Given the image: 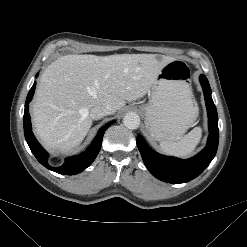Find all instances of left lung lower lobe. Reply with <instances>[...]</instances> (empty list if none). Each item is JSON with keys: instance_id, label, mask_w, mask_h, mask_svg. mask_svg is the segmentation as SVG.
<instances>
[{"instance_id": "left-lung-lower-lobe-1", "label": "left lung lower lobe", "mask_w": 247, "mask_h": 247, "mask_svg": "<svg viewBox=\"0 0 247 247\" xmlns=\"http://www.w3.org/2000/svg\"><path fill=\"white\" fill-rule=\"evenodd\" d=\"M209 118V137L207 146L196 156L181 160L158 154L150 149L140 135L137 146L145 166L153 176L161 181L178 184L185 183L200 175L214 158L219 141L218 115L211 98V88L205 75L200 76Z\"/></svg>"}]
</instances>
